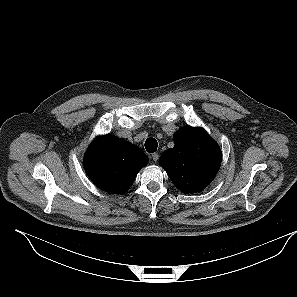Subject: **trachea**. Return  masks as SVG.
Listing matches in <instances>:
<instances>
[{"label":"trachea","mask_w":297,"mask_h":297,"mask_svg":"<svg viewBox=\"0 0 297 297\" xmlns=\"http://www.w3.org/2000/svg\"><path fill=\"white\" fill-rule=\"evenodd\" d=\"M158 143L154 138H148L145 142V148L147 152L154 153L157 150Z\"/></svg>","instance_id":"obj_1"}]
</instances>
